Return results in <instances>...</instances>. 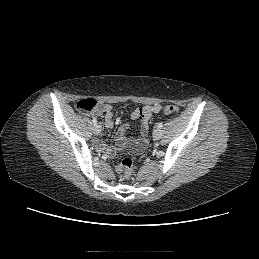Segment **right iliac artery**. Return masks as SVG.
Here are the masks:
<instances>
[{
	"label": "right iliac artery",
	"mask_w": 259,
	"mask_h": 259,
	"mask_svg": "<svg viewBox=\"0 0 259 259\" xmlns=\"http://www.w3.org/2000/svg\"><path fill=\"white\" fill-rule=\"evenodd\" d=\"M92 122H93L94 124H97V120H96L95 118L92 119Z\"/></svg>",
	"instance_id": "obj_1"
}]
</instances>
